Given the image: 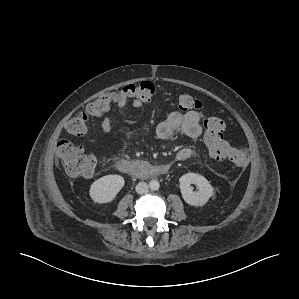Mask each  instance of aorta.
<instances>
[{
	"label": "aorta",
	"instance_id": "aorta-1",
	"mask_svg": "<svg viewBox=\"0 0 299 299\" xmlns=\"http://www.w3.org/2000/svg\"><path fill=\"white\" fill-rule=\"evenodd\" d=\"M150 188L151 190H158L160 187V183L157 180L150 181Z\"/></svg>",
	"mask_w": 299,
	"mask_h": 299
}]
</instances>
